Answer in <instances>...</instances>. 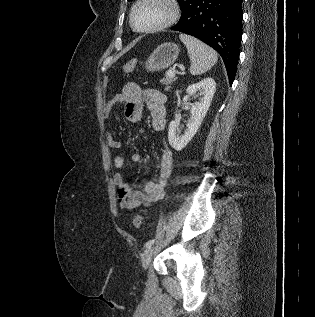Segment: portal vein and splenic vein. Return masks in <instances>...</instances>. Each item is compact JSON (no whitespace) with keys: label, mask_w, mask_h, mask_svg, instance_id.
I'll return each mask as SVG.
<instances>
[{"label":"portal vein and splenic vein","mask_w":315,"mask_h":317,"mask_svg":"<svg viewBox=\"0 0 315 317\" xmlns=\"http://www.w3.org/2000/svg\"><path fill=\"white\" fill-rule=\"evenodd\" d=\"M169 75L171 76V77H175V74H176V71L175 70H169Z\"/></svg>","instance_id":"18ae733b"}]
</instances>
